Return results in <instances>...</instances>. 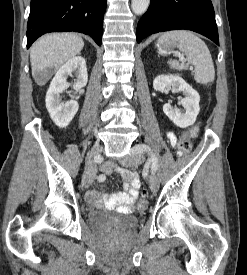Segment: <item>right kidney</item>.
Wrapping results in <instances>:
<instances>
[{"instance_id": "1", "label": "right kidney", "mask_w": 247, "mask_h": 275, "mask_svg": "<svg viewBox=\"0 0 247 275\" xmlns=\"http://www.w3.org/2000/svg\"><path fill=\"white\" fill-rule=\"evenodd\" d=\"M72 73L76 76L73 89L78 92L86 86L88 81L86 62L83 57H73L62 65L56 72L46 93V108L53 122L60 128H65L69 125L79 108L78 103L73 99L66 103L61 102L60 99V94L69 85L67 78L68 76L72 77Z\"/></svg>"}]
</instances>
